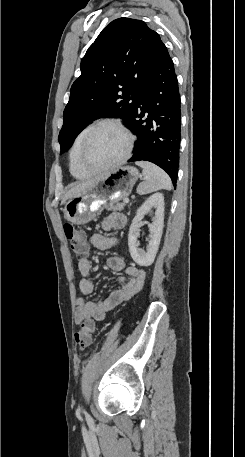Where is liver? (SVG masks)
I'll list each match as a JSON object with an SVG mask.
<instances>
[{"instance_id": "liver-1", "label": "liver", "mask_w": 245, "mask_h": 457, "mask_svg": "<svg viewBox=\"0 0 245 457\" xmlns=\"http://www.w3.org/2000/svg\"><path fill=\"white\" fill-rule=\"evenodd\" d=\"M95 180H98V178H92V180H85V182H78L76 186H72V188H70V190L66 192L62 202H65L67 198H72L74 194H78V192H81V190H85V188H87V186H90V184H93Z\"/></svg>"}]
</instances>
